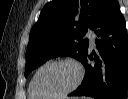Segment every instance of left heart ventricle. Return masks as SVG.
I'll list each match as a JSON object with an SVG mask.
<instances>
[{
  "label": "left heart ventricle",
  "instance_id": "b2bd125f",
  "mask_svg": "<svg viewBox=\"0 0 128 99\" xmlns=\"http://www.w3.org/2000/svg\"><path fill=\"white\" fill-rule=\"evenodd\" d=\"M76 71L69 64H56L42 70L34 85L38 95H54L69 88L76 80Z\"/></svg>",
  "mask_w": 128,
  "mask_h": 99
}]
</instances>
